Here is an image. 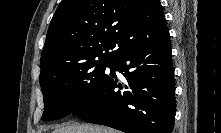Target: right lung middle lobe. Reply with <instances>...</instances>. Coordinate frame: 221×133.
I'll return each instance as SVG.
<instances>
[{
	"instance_id": "dd1d6c3e",
	"label": "right lung middle lobe",
	"mask_w": 221,
	"mask_h": 133,
	"mask_svg": "<svg viewBox=\"0 0 221 133\" xmlns=\"http://www.w3.org/2000/svg\"><path fill=\"white\" fill-rule=\"evenodd\" d=\"M113 62L60 64L40 75L44 96L43 120H54L77 111L105 84Z\"/></svg>"
}]
</instances>
